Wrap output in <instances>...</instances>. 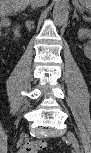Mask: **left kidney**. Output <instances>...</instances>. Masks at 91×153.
Instances as JSON below:
<instances>
[{
	"instance_id": "5707ae66",
	"label": "left kidney",
	"mask_w": 91,
	"mask_h": 153,
	"mask_svg": "<svg viewBox=\"0 0 91 153\" xmlns=\"http://www.w3.org/2000/svg\"><path fill=\"white\" fill-rule=\"evenodd\" d=\"M87 32L88 31L86 29H80L78 31V37L80 39H82ZM84 53H85L86 57L91 58V48L90 47H85L84 48Z\"/></svg>"
}]
</instances>
